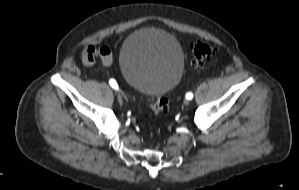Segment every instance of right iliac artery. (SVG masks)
<instances>
[{"label": "right iliac artery", "mask_w": 299, "mask_h": 190, "mask_svg": "<svg viewBox=\"0 0 299 190\" xmlns=\"http://www.w3.org/2000/svg\"><path fill=\"white\" fill-rule=\"evenodd\" d=\"M109 84L112 88L118 90V84L114 79H110Z\"/></svg>", "instance_id": "obj_1"}]
</instances>
